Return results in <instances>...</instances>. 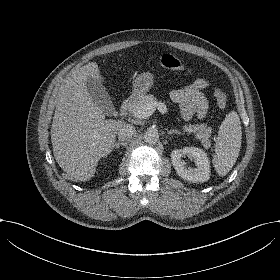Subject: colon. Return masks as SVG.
<instances>
[{"label": "colon", "instance_id": "1", "mask_svg": "<svg viewBox=\"0 0 280 280\" xmlns=\"http://www.w3.org/2000/svg\"><path fill=\"white\" fill-rule=\"evenodd\" d=\"M161 63L165 67L172 66L173 71L180 75H185L189 71V65L187 62L181 60L174 61L173 56L170 54L163 55L161 58ZM213 97L220 108H224L226 106L227 95L224 91L220 89L214 90Z\"/></svg>", "mask_w": 280, "mask_h": 280}]
</instances>
